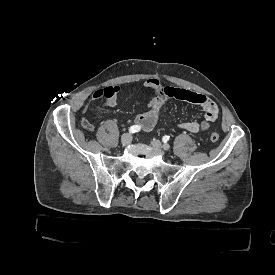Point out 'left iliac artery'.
<instances>
[{"instance_id":"obj_1","label":"left iliac artery","mask_w":275,"mask_h":275,"mask_svg":"<svg viewBox=\"0 0 275 275\" xmlns=\"http://www.w3.org/2000/svg\"><path fill=\"white\" fill-rule=\"evenodd\" d=\"M169 139H170V137L167 136V135H165V136H163L162 141H163L164 143H166Z\"/></svg>"}]
</instances>
